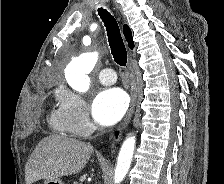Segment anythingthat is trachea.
<instances>
[{"mask_svg":"<svg viewBox=\"0 0 224 184\" xmlns=\"http://www.w3.org/2000/svg\"><path fill=\"white\" fill-rule=\"evenodd\" d=\"M98 14L105 24L107 36L114 61L124 67L127 64V52L115 18L105 9L99 8Z\"/></svg>","mask_w":224,"mask_h":184,"instance_id":"3493384b","label":"trachea"}]
</instances>
